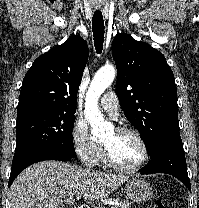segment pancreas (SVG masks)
Listing matches in <instances>:
<instances>
[{
  "mask_svg": "<svg viewBox=\"0 0 199 208\" xmlns=\"http://www.w3.org/2000/svg\"><path fill=\"white\" fill-rule=\"evenodd\" d=\"M113 201H117L116 199H113ZM97 208H103V207H97ZM118 208H131V203L129 201H120L118 204Z\"/></svg>",
  "mask_w": 199,
  "mask_h": 208,
  "instance_id": "cf45deb5",
  "label": "pancreas"
}]
</instances>
